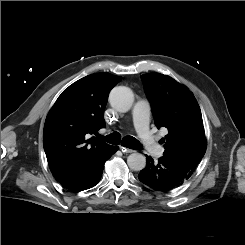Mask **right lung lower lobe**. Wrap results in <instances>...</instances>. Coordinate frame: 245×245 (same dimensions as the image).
Instances as JSON below:
<instances>
[{
    "label": "right lung lower lobe",
    "mask_w": 245,
    "mask_h": 245,
    "mask_svg": "<svg viewBox=\"0 0 245 245\" xmlns=\"http://www.w3.org/2000/svg\"><path fill=\"white\" fill-rule=\"evenodd\" d=\"M117 150L118 147L112 146L105 153L91 157L58 182L72 191H82L94 187L101 179L105 162Z\"/></svg>",
    "instance_id": "right-lung-lower-lobe-1"
}]
</instances>
